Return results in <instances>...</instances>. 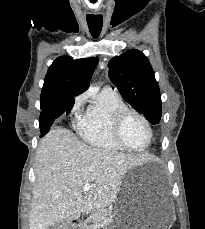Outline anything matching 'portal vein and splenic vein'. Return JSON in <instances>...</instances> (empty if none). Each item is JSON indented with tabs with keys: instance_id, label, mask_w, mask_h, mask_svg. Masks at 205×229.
<instances>
[{
	"instance_id": "obj_1",
	"label": "portal vein and splenic vein",
	"mask_w": 205,
	"mask_h": 229,
	"mask_svg": "<svg viewBox=\"0 0 205 229\" xmlns=\"http://www.w3.org/2000/svg\"><path fill=\"white\" fill-rule=\"evenodd\" d=\"M91 188H92V185H90V184H85V185L83 186L84 192H88Z\"/></svg>"
}]
</instances>
